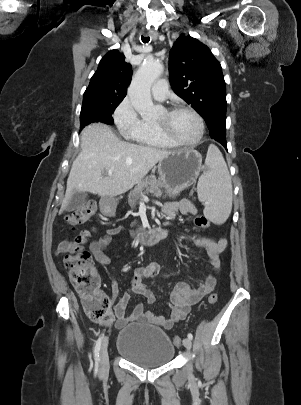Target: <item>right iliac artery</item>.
<instances>
[{"label": "right iliac artery", "mask_w": 301, "mask_h": 405, "mask_svg": "<svg viewBox=\"0 0 301 405\" xmlns=\"http://www.w3.org/2000/svg\"><path fill=\"white\" fill-rule=\"evenodd\" d=\"M102 339H103V334L98 338V340L96 341L95 347H94L95 372L98 371V367H99V350L101 347Z\"/></svg>", "instance_id": "1"}]
</instances>
